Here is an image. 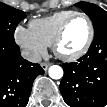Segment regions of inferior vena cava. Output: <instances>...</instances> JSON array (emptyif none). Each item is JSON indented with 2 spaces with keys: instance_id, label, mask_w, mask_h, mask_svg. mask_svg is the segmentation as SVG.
Instances as JSON below:
<instances>
[{
  "instance_id": "602c4592",
  "label": "inferior vena cava",
  "mask_w": 107,
  "mask_h": 107,
  "mask_svg": "<svg viewBox=\"0 0 107 107\" xmlns=\"http://www.w3.org/2000/svg\"><path fill=\"white\" fill-rule=\"evenodd\" d=\"M21 56L24 59H26V60H28L32 63H39L42 60L41 56L38 53L31 52L29 50H22L21 51Z\"/></svg>"
}]
</instances>
